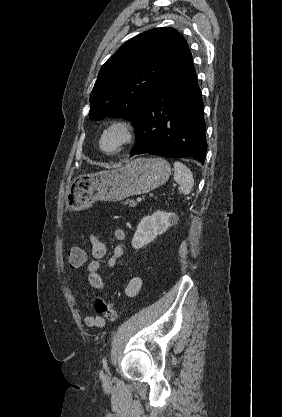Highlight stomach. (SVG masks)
I'll return each mask as SVG.
<instances>
[{
    "label": "stomach",
    "instance_id": "stomach-1",
    "mask_svg": "<svg viewBox=\"0 0 282 417\" xmlns=\"http://www.w3.org/2000/svg\"><path fill=\"white\" fill-rule=\"evenodd\" d=\"M170 166L164 158H135L125 166L83 174L73 180L66 194L69 211H85L96 200H122L133 194H144L164 184L170 176ZM86 192V194H85Z\"/></svg>",
    "mask_w": 282,
    "mask_h": 417
}]
</instances>
